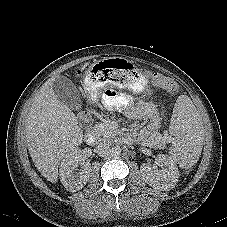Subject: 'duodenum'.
Returning <instances> with one entry per match:
<instances>
[{"label":"duodenum","mask_w":227,"mask_h":227,"mask_svg":"<svg viewBox=\"0 0 227 227\" xmlns=\"http://www.w3.org/2000/svg\"><path fill=\"white\" fill-rule=\"evenodd\" d=\"M85 141L88 145H94L96 143V133L93 129H89L86 131Z\"/></svg>","instance_id":"1"}]
</instances>
